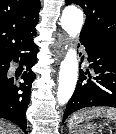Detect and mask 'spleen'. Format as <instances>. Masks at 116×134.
Masks as SVG:
<instances>
[{
  "label": "spleen",
  "mask_w": 116,
  "mask_h": 134,
  "mask_svg": "<svg viewBox=\"0 0 116 134\" xmlns=\"http://www.w3.org/2000/svg\"><path fill=\"white\" fill-rule=\"evenodd\" d=\"M105 117L111 121L116 122V109L114 108H104V107H94L86 110L79 111L73 114L69 121L68 127L72 129L78 123L83 122L85 119Z\"/></svg>",
  "instance_id": "1"
}]
</instances>
